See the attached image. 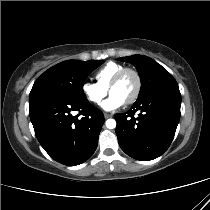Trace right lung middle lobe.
<instances>
[{
	"label": "right lung middle lobe",
	"instance_id": "right-lung-middle-lobe-1",
	"mask_svg": "<svg viewBox=\"0 0 210 210\" xmlns=\"http://www.w3.org/2000/svg\"><path fill=\"white\" fill-rule=\"evenodd\" d=\"M103 60H67L45 71L34 83L29 101L45 96L70 97L86 100L83 85L88 75L99 67Z\"/></svg>",
	"mask_w": 210,
	"mask_h": 210
}]
</instances>
